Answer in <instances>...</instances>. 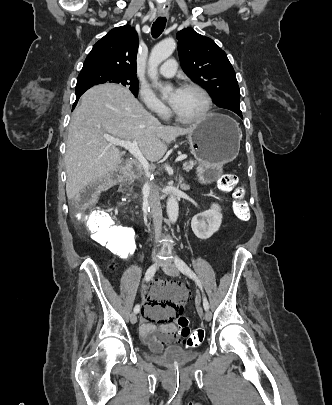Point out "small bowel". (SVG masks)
<instances>
[{
	"label": "small bowel",
	"mask_w": 332,
	"mask_h": 405,
	"mask_svg": "<svg viewBox=\"0 0 332 405\" xmlns=\"http://www.w3.org/2000/svg\"><path fill=\"white\" fill-rule=\"evenodd\" d=\"M170 284L156 283L146 294L142 310L140 335L149 349H175L182 346L178 325L173 323L175 315L183 311L189 301L188 288H168Z\"/></svg>",
	"instance_id": "obj_1"
}]
</instances>
